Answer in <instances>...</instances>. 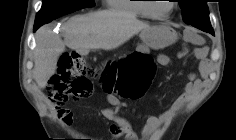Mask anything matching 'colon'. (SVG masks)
I'll return each mask as SVG.
<instances>
[{"label": "colon", "instance_id": "obj_1", "mask_svg": "<svg viewBox=\"0 0 236 140\" xmlns=\"http://www.w3.org/2000/svg\"><path fill=\"white\" fill-rule=\"evenodd\" d=\"M155 73L153 60L148 56H127L110 63L101 73L104 85L127 99L142 97ZM96 71L77 53H64L57 73L50 79L46 93L49 99L61 106L69 100L83 99L92 91L91 78Z\"/></svg>", "mask_w": 236, "mask_h": 140}]
</instances>
